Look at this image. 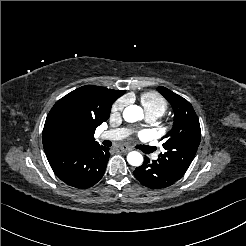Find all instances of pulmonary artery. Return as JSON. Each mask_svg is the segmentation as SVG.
Segmentation results:
<instances>
[{"instance_id": "obj_1", "label": "pulmonary artery", "mask_w": 246, "mask_h": 246, "mask_svg": "<svg viewBox=\"0 0 246 246\" xmlns=\"http://www.w3.org/2000/svg\"><path fill=\"white\" fill-rule=\"evenodd\" d=\"M157 117L154 115H147V120L149 122H153ZM128 132L125 129H114L107 132H103L99 135V138L101 139H111V140H117L124 138Z\"/></svg>"}]
</instances>
